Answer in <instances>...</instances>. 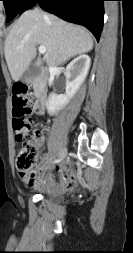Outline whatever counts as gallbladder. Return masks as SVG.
I'll use <instances>...</instances> for the list:
<instances>
[{
	"label": "gallbladder",
	"instance_id": "gallbladder-1",
	"mask_svg": "<svg viewBox=\"0 0 133 253\" xmlns=\"http://www.w3.org/2000/svg\"><path fill=\"white\" fill-rule=\"evenodd\" d=\"M39 73V68L37 64H31L28 69L23 74L24 81H33Z\"/></svg>",
	"mask_w": 133,
	"mask_h": 253
}]
</instances>
